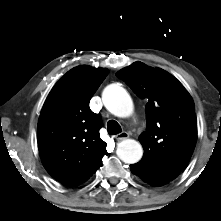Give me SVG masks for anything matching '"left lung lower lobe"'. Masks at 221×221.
Instances as JSON below:
<instances>
[{"instance_id":"obj_1","label":"left lung lower lobe","mask_w":221,"mask_h":221,"mask_svg":"<svg viewBox=\"0 0 221 221\" xmlns=\"http://www.w3.org/2000/svg\"><path fill=\"white\" fill-rule=\"evenodd\" d=\"M131 171L134 173L133 169L131 168Z\"/></svg>"}]
</instances>
